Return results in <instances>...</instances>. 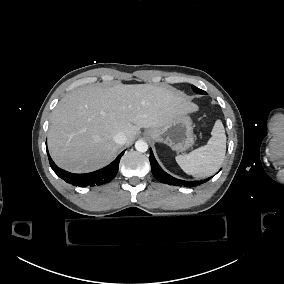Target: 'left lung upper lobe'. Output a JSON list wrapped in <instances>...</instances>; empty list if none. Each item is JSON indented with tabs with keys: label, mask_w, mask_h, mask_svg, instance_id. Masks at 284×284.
<instances>
[{
	"label": "left lung upper lobe",
	"mask_w": 284,
	"mask_h": 284,
	"mask_svg": "<svg viewBox=\"0 0 284 284\" xmlns=\"http://www.w3.org/2000/svg\"><path fill=\"white\" fill-rule=\"evenodd\" d=\"M192 89L194 90V92L198 93V94H206L205 91L195 87V86H192Z\"/></svg>",
	"instance_id": "5c2ea615"
}]
</instances>
